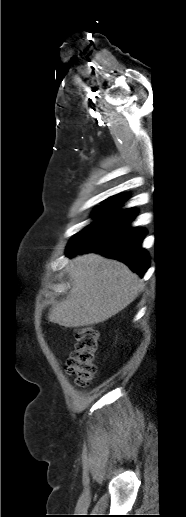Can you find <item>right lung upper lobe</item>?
Segmentation results:
<instances>
[{
  "instance_id": "1",
  "label": "right lung upper lobe",
  "mask_w": 186,
  "mask_h": 517,
  "mask_svg": "<svg viewBox=\"0 0 186 517\" xmlns=\"http://www.w3.org/2000/svg\"><path fill=\"white\" fill-rule=\"evenodd\" d=\"M123 197H124V195H122V196H112V197L108 198L106 201L112 202V203L115 204V203L123 200Z\"/></svg>"
}]
</instances>
